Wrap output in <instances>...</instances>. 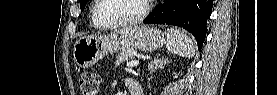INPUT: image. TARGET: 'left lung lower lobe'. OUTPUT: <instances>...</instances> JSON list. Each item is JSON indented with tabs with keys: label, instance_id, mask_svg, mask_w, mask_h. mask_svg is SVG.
I'll return each instance as SVG.
<instances>
[{
	"label": "left lung lower lobe",
	"instance_id": "0a47b994",
	"mask_svg": "<svg viewBox=\"0 0 277 95\" xmlns=\"http://www.w3.org/2000/svg\"><path fill=\"white\" fill-rule=\"evenodd\" d=\"M212 6L213 0H163L143 22L182 27L194 35L201 50Z\"/></svg>",
	"mask_w": 277,
	"mask_h": 95
}]
</instances>
